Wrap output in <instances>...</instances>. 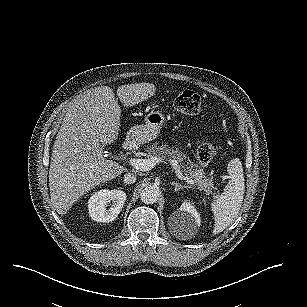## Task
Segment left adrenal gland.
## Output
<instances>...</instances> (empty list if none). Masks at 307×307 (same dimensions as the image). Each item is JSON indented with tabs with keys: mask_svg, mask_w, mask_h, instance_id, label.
I'll list each match as a JSON object with an SVG mask.
<instances>
[{
	"mask_svg": "<svg viewBox=\"0 0 307 307\" xmlns=\"http://www.w3.org/2000/svg\"><path fill=\"white\" fill-rule=\"evenodd\" d=\"M171 185L175 186V191H179V190H182L184 188H186V189L190 188L189 185H181L177 182H172Z\"/></svg>",
	"mask_w": 307,
	"mask_h": 307,
	"instance_id": "a2214340",
	"label": "left adrenal gland"
}]
</instances>
